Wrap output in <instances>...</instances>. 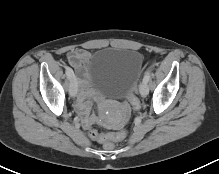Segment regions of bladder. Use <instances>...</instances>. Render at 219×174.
Masks as SVG:
<instances>
[{
    "instance_id": "1",
    "label": "bladder",
    "mask_w": 219,
    "mask_h": 174,
    "mask_svg": "<svg viewBox=\"0 0 219 174\" xmlns=\"http://www.w3.org/2000/svg\"><path fill=\"white\" fill-rule=\"evenodd\" d=\"M143 65L134 49L110 47L96 51L87 63L91 86L107 97L123 98L131 90Z\"/></svg>"
}]
</instances>
